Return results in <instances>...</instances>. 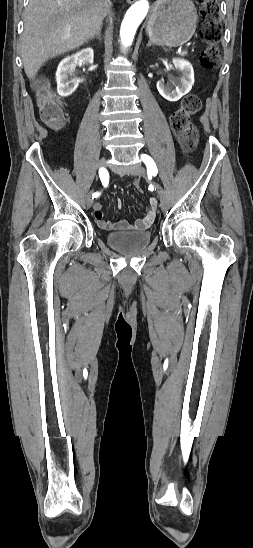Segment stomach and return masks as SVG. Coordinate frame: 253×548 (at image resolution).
Segmentation results:
<instances>
[{
  "label": "stomach",
  "mask_w": 253,
  "mask_h": 548,
  "mask_svg": "<svg viewBox=\"0 0 253 548\" xmlns=\"http://www.w3.org/2000/svg\"><path fill=\"white\" fill-rule=\"evenodd\" d=\"M196 24L197 12L192 0H158L146 32L157 45L178 47L192 38Z\"/></svg>",
  "instance_id": "obj_1"
}]
</instances>
